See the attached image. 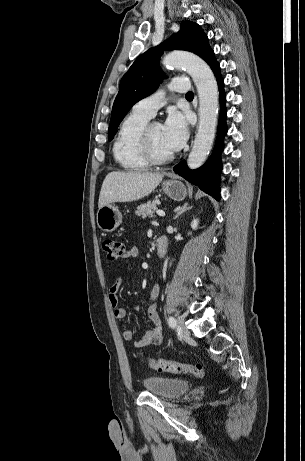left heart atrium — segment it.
<instances>
[{"label": "left heart atrium", "mask_w": 305, "mask_h": 461, "mask_svg": "<svg viewBox=\"0 0 305 461\" xmlns=\"http://www.w3.org/2000/svg\"><path fill=\"white\" fill-rule=\"evenodd\" d=\"M163 127V139L166 146L172 151L180 150L186 143L189 130L186 117L177 111L171 112Z\"/></svg>", "instance_id": "39dd6f15"}]
</instances>
